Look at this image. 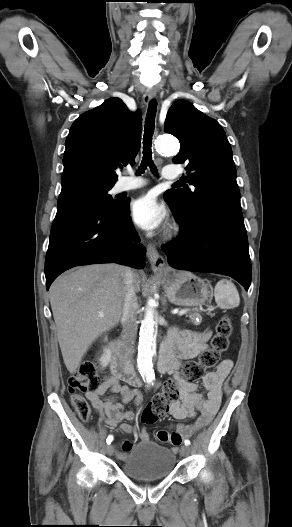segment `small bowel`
I'll list each match as a JSON object with an SVG mask.
<instances>
[{
	"mask_svg": "<svg viewBox=\"0 0 292 527\" xmlns=\"http://www.w3.org/2000/svg\"><path fill=\"white\" fill-rule=\"evenodd\" d=\"M209 332L196 333L188 330L172 329L164 343L170 353V362L167 372L173 375L165 385L173 383L175 385L176 398L169 404L168 412L176 420L192 418L197 412L201 416L190 426L185 427L179 423L175 425L176 431H159L157 438L159 441L169 443L177 447L183 437L189 436L196 428L208 424L219 409L222 397V383L232 369V362L229 359L223 360L216 370L207 373L203 378V386L207 391L206 397L198 392L196 384L184 381L178 373V369L183 360L195 358L207 347ZM123 379L113 374L104 381L98 390L88 392L87 399L93 408L99 412L101 419L110 428H119L125 433H134L135 428L123 421L133 420L135 413L124 410L123 404L134 401L137 405L141 402L140 394L129 386L122 385ZM111 392L113 395L105 396ZM120 395L121 400H118ZM142 441H148L149 435L146 430L140 433ZM131 448L129 442L123 444V450Z\"/></svg>",
	"mask_w": 292,
	"mask_h": 527,
	"instance_id": "1",
	"label": "small bowel"
}]
</instances>
